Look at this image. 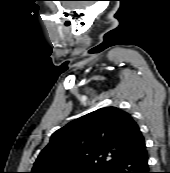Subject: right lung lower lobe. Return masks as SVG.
<instances>
[{
    "instance_id": "98d812e1",
    "label": "right lung lower lobe",
    "mask_w": 170,
    "mask_h": 173,
    "mask_svg": "<svg viewBox=\"0 0 170 173\" xmlns=\"http://www.w3.org/2000/svg\"><path fill=\"white\" fill-rule=\"evenodd\" d=\"M105 173H150L146 146L113 162Z\"/></svg>"
}]
</instances>
